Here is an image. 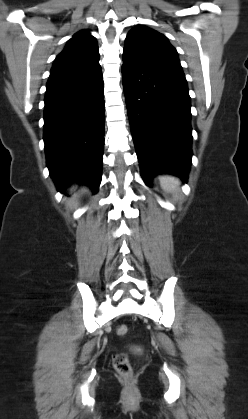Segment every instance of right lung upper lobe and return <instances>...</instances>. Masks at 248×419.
Listing matches in <instances>:
<instances>
[{
	"label": "right lung upper lobe",
	"mask_w": 248,
	"mask_h": 419,
	"mask_svg": "<svg viewBox=\"0 0 248 419\" xmlns=\"http://www.w3.org/2000/svg\"><path fill=\"white\" fill-rule=\"evenodd\" d=\"M99 65L96 39L88 31L76 33L56 57L49 80L76 76Z\"/></svg>",
	"instance_id": "1"
}]
</instances>
